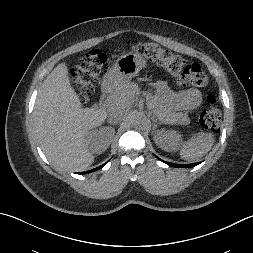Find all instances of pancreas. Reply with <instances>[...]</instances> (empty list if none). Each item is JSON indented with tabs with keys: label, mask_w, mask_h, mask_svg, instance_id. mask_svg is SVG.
Here are the masks:
<instances>
[{
	"label": "pancreas",
	"mask_w": 253,
	"mask_h": 253,
	"mask_svg": "<svg viewBox=\"0 0 253 253\" xmlns=\"http://www.w3.org/2000/svg\"><path fill=\"white\" fill-rule=\"evenodd\" d=\"M138 92V86L132 82H125L119 85L112 93L111 100L116 104H130L135 94ZM149 107L156 113L158 118L169 124L186 125L190 123L187 113L172 112L158 99L154 98L150 93L147 94Z\"/></svg>",
	"instance_id": "cf45deb5"
}]
</instances>
